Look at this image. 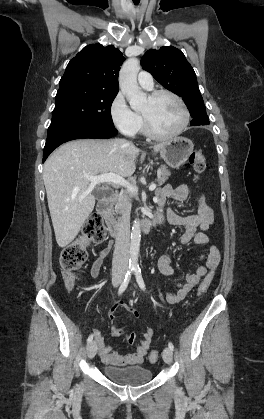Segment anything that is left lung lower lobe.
<instances>
[{
  "label": "left lung lower lobe",
  "instance_id": "1",
  "mask_svg": "<svg viewBox=\"0 0 264 419\" xmlns=\"http://www.w3.org/2000/svg\"><path fill=\"white\" fill-rule=\"evenodd\" d=\"M190 124L193 126L208 125L209 118H205L204 115H197L193 117V120L191 121Z\"/></svg>",
  "mask_w": 264,
  "mask_h": 419
}]
</instances>
